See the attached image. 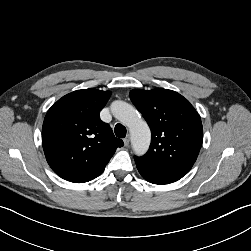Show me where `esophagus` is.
<instances>
[{
    "mask_svg": "<svg viewBox=\"0 0 251 251\" xmlns=\"http://www.w3.org/2000/svg\"><path fill=\"white\" fill-rule=\"evenodd\" d=\"M123 141H124V145H125V146H128L129 143H130V138H129V136L125 137Z\"/></svg>",
    "mask_w": 251,
    "mask_h": 251,
    "instance_id": "34e87169",
    "label": "esophagus"
}]
</instances>
